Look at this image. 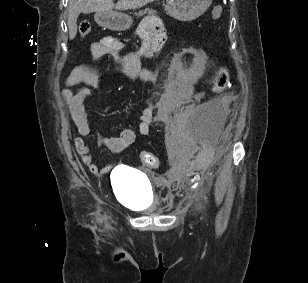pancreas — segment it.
Returning <instances> with one entry per match:
<instances>
[{
    "instance_id": "cf45deb5",
    "label": "pancreas",
    "mask_w": 308,
    "mask_h": 283,
    "mask_svg": "<svg viewBox=\"0 0 308 283\" xmlns=\"http://www.w3.org/2000/svg\"><path fill=\"white\" fill-rule=\"evenodd\" d=\"M145 14H147L148 16H155L157 12L153 9H145L144 11H139L138 13H135L137 17H141Z\"/></svg>"
}]
</instances>
